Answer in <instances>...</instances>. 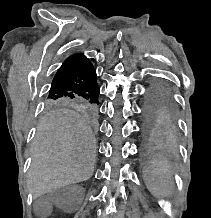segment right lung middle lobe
<instances>
[{
	"label": "right lung middle lobe",
	"instance_id": "1",
	"mask_svg": "<svg viewBox=\"0 0 211 218\" xmlns=\"http://www.w3.org/2000/svg\"><path fill=\"white\" fill-rule=\"evenodd\" d=\"M45 108L49 111H55L65 108H80L89 113H95L99 103H94L80 97H47L45 100Z\"/></svg>",
	"mask_w": 211,
	"mask_h": 218
}]
</instances>
